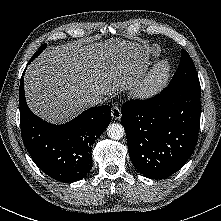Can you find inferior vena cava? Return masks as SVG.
<instances>
[{
  "instance_id": "inferior-vena-cava-1",
  "label": "inferior vena cava",
  "mask_w": 221,
  "mask_h": 221,
  "mask_svg": "<svg viewBox=\"0 0 221 221\" xmlns=\"http://www.w3.org/2000/svg\"><path fill=\"white\" fill-rule=\"evenodd\" d=\"M104 100L100 96H91L87 99L89 106H97L103 104Z\"/></svg>"
}]
</instances>
